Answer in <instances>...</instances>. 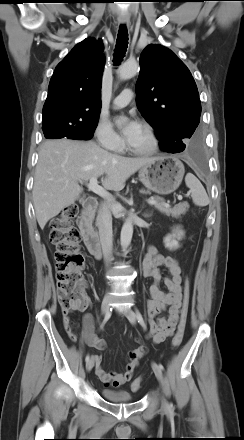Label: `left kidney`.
Listing matches in <instances>:
<instances>
[{"label":"left kidney","mask_w":244,"mask_h":440,"mask_svg":"<svg viewBox=\"0 0 244 440\" xmlns=\"http://www.w3.org/2000/svg\"><path fill=\"white\" fill-rule=\"evenodd\" d=\"M183 235L184 232L177 228L176 230H174L173 234L167 235L164 238L165 247L169 248L170 250L179 248L178 240H180Z\"/></svg>","instance_id":"5707ae66"}]
</instances>
